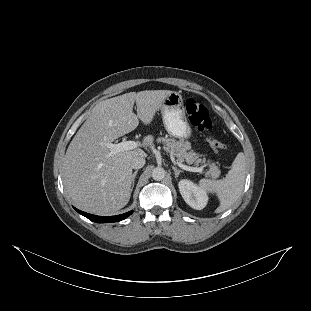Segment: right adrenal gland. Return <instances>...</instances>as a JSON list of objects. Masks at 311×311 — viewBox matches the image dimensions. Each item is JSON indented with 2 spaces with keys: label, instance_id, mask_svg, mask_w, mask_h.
<instances>
[{
  "label": "right adrenal gland",
  "instance_id": "2a0ac1e0",
  "mask_svg": "<svg viewBox=\"0 0 311 311\" xmlns=\"http://www.w3.org/2000/svg\"><path fill=\"white\" fill-rule=\"evenodd\" d=\"M137 173H138V169L136 171H134V173L132 174V178H131V185H132L131 191L134 188V182H135V177H136Z\"/></svg>",
  "mask_w": 311,
  "mask_h": 311
}]
</instances>
